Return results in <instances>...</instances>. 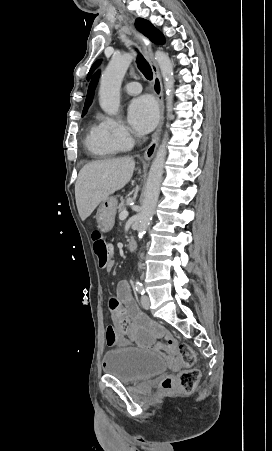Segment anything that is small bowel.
Returning <instances> with one entry per match:
<instances>
[{
  "label": "small bowel",
  "mask_w": 272,
  "mask_h": 451,
  "mask_svg": "<svg viewBox=\"0 0 272 451\" xmlns=\"http://www.w3.org/2000/svg\"><path fill=\"white\" fill-rule=\"evenodd\" d=\"M114 265V260H110L106 268L110 270ZM109 307L113 313V318L120 315L126 317L129 321L127 330L119 333L122 338V344L131 341L144 349L155 352L164 350L165 343L157 342L156 338H166L167 336H172V334L139 313L126 281H120L117 284L115 295L109 300ZM155 329L158 330L157 333H155Z\"/></svg>",
  "instance_id": "1"
}]
</instances>
